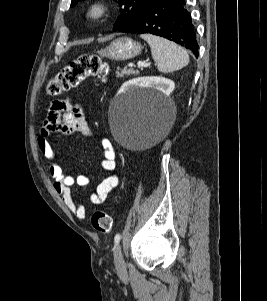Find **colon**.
Listing matches in <instances>:
<instances>
[{"label": "colon", "mask_w": 267, "mask_h": 301, "mask_svg": "<svg viewBox=\"0 0 267 301\" xmlns=\"http://www.w3.org/2000/svg\"><path fill=\"white\" fill-rule=\"evenodd\" d=\"M109 74V65L97 55H81L64 67L55 77L51 78L46 86L48 96H58L78 86L88 77H97L105 81ZM91 222L94 229L106 234L111 231L112 218L102 210L92 214Z\"/></svg>", "instance_id": "1"}]
</instances>
